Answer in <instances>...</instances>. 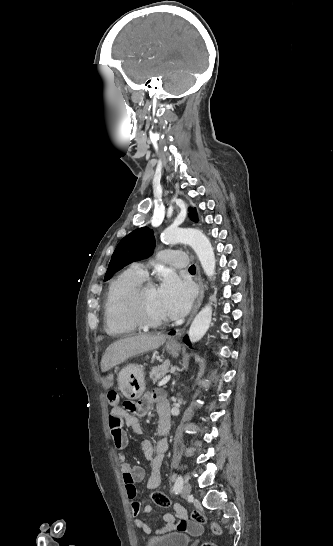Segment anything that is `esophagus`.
Segmentation results:
<instances>
[{
  "label": "esophagus",
  "instance_id": "obj_1",
  "mask_svg": "<svg viewBox=\"0 0 333 546\" xmlns=\"http://www.w3.org/2000/svg\"><path fill=\"white\" fill-rule=\"evenodd\" d=\"M196 279H197V283H198V286H199V295H198V298H197V301L195 303V306L193 308V311L186 323V326L189 325V323L191 322V320L193 319L194 315L196 314V312L198 311V309L200 308L201 306V303H202V300H203V297H204V284H203V279H202V276H201V272H200V267L199 265H197V276H196Z\"/></svg>",
  "mask_w": 333,
  "mask_h": 546
}]
</instances>
